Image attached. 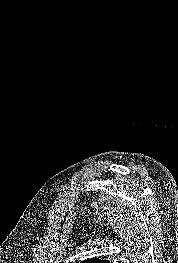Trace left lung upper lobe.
<instances>
[{
    "mask_svg": "<svg viewBox=\"0 0 178 263\" xmlns=\"http://www.w3.org/2000/svg\"><path fill=\"white\" fill-rule=\"evenodd\" d=\"M84 263H109V262L106 260H99L98 258H92L85 260Z\"/></svg>",
    "mask_w": 178,
    "mask_h": 263,
    "instance_id": "5c2ea615",
    "label": "left lung upper lobe"
}]
</instances>
